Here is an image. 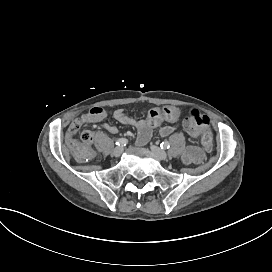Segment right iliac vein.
<instances>
[{
	"label": "right iliac vein",
	"mask_w": 272,
	"mask_h": 272,
	"mask_svg": "<svg viewBox=\"0 0 272 272\" xmlns=\"http://www.w3.org/2000/svg\"><path fill=\"white\" fill-rule=\"evenodd\" d=\"M122 152H123V147L118 146V147L114 148L112 154L115 157H119L122 154Z\"/></svg>",
	"instance_id": "1"
}]
</instances>
